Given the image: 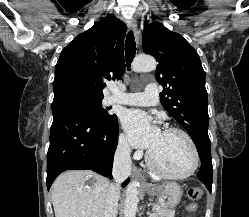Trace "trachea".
<instances>
[{
    "instance_id": "1",
    "label": "trachea",
    "mask_w": 249,
    "mask_h": 217,
    "mask_svg": "<svg viewBox=\"0 0 249 217\" xmlns=\"http://www.w3.org/2000/svg\"><path fill=\"white\" fill-rule=\"evenodd\" d=\"M136 54V43L132 31H129L125 41V55L128 71H130L131 62Z\"/></svg>"
}]
</instances>
